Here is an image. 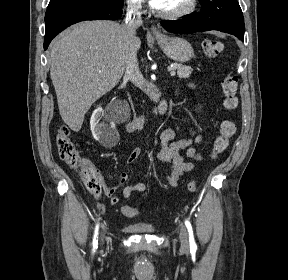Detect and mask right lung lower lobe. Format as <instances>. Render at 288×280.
I'll return each instance as SVG.
<instances>
[{"label": "right lung lower lobe", "mask_w": 288, "mask_h": 280, "mask_svg": "<svg viewBox=\"0 0 288 280\" xmlns=\"http://www.w3.org/2000/svg\"><path fill=\"white\" fill-rule=\"evenodd\" d=\"M121 8L104 0H60L49 4L45 15L44 49L68 26L84 20H116L122 14Z\"/></svg>", "instance_id": "98d812e1"}]
</instances>
